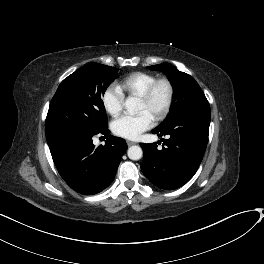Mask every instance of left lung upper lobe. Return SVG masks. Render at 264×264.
Wrapping results in <instances>:
<instances>
[{"instance_id": "5c2ea615", "label": "left lung upper lobe", "mask_w": 264, "mask_h": 264, "mask_svg": "<svg viewBox=\"0 0 264 264\" xmlns=\"http://www.w3.org/2000/svg\"><path fill=\"white\" fill-rule=\"evenodd\" d=\"M148 68L166 73L174 88L171 113L155 129L165 128L190 113L210 111L208 100L198 83L190 75L179 71L169 63L153 65Z\"/></svg>"}]
</instances>
